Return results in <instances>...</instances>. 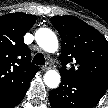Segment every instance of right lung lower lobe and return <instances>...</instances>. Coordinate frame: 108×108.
Listing matches in <instances>:
<instances>
[{"mask_svg": "<svg viewBox=\"0 0 108 108\" xmlns=\"http://www.w3.org/2000/svg\"><path fill=\"white\" fill-rule=\"evenodd\" d=\"M29 84L30 83H28L26 86H24L14 94L0 97V108H12L19 104L25 96L29 88Z\"/></svg>", "mask_w": 108, "mask_h": 108, "instance_id": "obj_1", "label": "right lung lower lobe"}]
</instances>
